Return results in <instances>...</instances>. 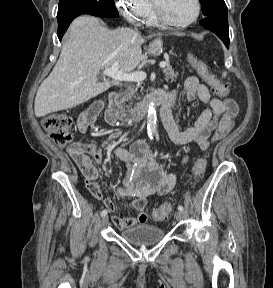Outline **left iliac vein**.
Here are the masks:
<instances>
[{"mask_svg":"<svg viewBox=\"0 0 273 288\" xmlns=\"http://www.w3.org/2000/svg\"><path fill=\"white\" fill-rule=\"evenodd\" d=\"M175 219L177 221H181L183 219V213L181 211H178L176 214H175Z\"/></svg>","mask_w":273,"mask_h":288,"instance_id":"obj_1","label":"left iliac vein"}]
</instances>
